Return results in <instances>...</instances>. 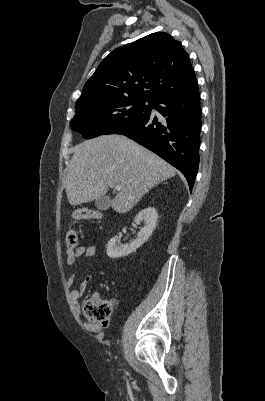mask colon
Instances as JSON below:
<instances>
[{
	"label": "colon",
	"mask_w": 265,
	"mask_h": 401,
	"mask_svg": "<svg viewBox=\"0 0 265 401\" xmlns=\"http://www.w3.org/2000/svg\"><path fill=\"white\" fill-rule=\"evenodd\" d=\"M75 220L98 219L99 213L87 209L78 208L73 212ZM66 250L72 251L77 247V234L74 229H69L65 238ZM114 308L113 300H103L92 296L83 303V312L86 318L93 324H105L110 318Z\"/></svg>",
	"instance_id": "1"
}]
</instances>
